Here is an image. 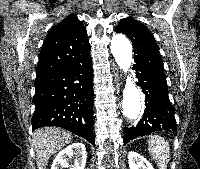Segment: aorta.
I'll return each mask as SVG.
<instances>
[{"mask_svg":"<svg viewBox=\"0 0 200 169\" xmlns=\"http://www.w3.org/2000/svg\"><path fill=\"white\" fill-rule=\"evenodd\" d=\"M110 48L120 69L127 73L132 63V45L130 41L124 35H114ZM122 108L124 116L129 120L136 119L141 111L139 90L130 76H127L123 90Z\"/></svg>","mask_w":200,"mask_h":169,"instance_id":"1","label":"aorta"}]
</instances>
